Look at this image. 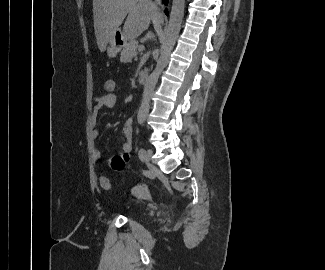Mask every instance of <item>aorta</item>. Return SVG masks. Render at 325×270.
Returning <instances> with one entry per match:
<instances>
[{
  "label": "aorta",
  "instance_id": "762f6f07",
  "mask_svg": "<svg viewBox=\"0 0 325 270\" xmlns=\"http://www.w3.org/2000/svg\"><path fill=\"white\" fill-rule=\"evenodd\" d=\"M184 7L185 0H173L165 40L160 49V58L144 86L142 103L138 112L139 120H143L148 115L150 98L154 92L160 74L169 62L170 54L178 38L184 16Z\"/></svg>",
  "mask_w": 325,
  "mask_h": 270
}]
</instances>
